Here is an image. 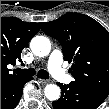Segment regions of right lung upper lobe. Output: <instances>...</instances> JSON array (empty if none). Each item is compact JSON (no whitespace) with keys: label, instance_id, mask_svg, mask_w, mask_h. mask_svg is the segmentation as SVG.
<instances>
[{"label":"right lung upper lobe","instance_id":"right-lung-upper-lobe-1","mask_svg":"<svg viewBox=\"0 0 109 109\" xmlns=\"http://www.w3.org/2000/svg\"><path fill=\"white\" fill-rule=\"evenodd\" d=\"M39 25L35 22H23L15 17L1 18V86L22 76L10 74L7 65L21 60L23 48L38 32Z\"/></svg>","mask_w":109,"mask_h":109}]
</instances>
